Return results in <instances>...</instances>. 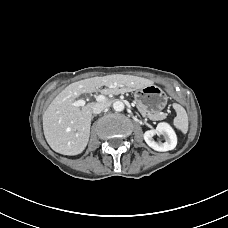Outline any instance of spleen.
Wrapping results in <instances>:
<instances>
[{
  "label": "spleen",
  "instance_id": "spleen-1",
  "mask_svg": "<svg viewBox=\"0 0 228 228\" xmlns=\"http://www.w3.org/2000/svg\"><path fill=\"white\" fill-rule=\"evenodd\" d=\"M173 108L175 109L177 116L174 118L173 125L179 129L182 133L186 134L188 131V116L185 109L177 104H173Z\"/></svg>",
  "mask_w": 228,
  "mask_h": 228
}]
</instances>
